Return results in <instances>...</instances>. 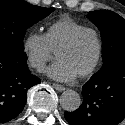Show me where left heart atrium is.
I'll list each match as a JSON object with an SVG mask.
<instances>
[{
	"label": "left heart atrium",
	"mask_w": 125,
	"mask_h": 125,
	"mask_svg": "<svg viewBox=\"0 0 125 125\" xmlns=\"http://www.w3.org/2000/svg\"><path fill=\"white\" fill-rule=\"evenodd\" d=\"M46 73L49 77L62 82L72 81L77 76L62 60H58L56 63L51 65L46 70Z\"/></svg>",
	"instance_id": "left-heart-atrium-1"
}]
</instances>
